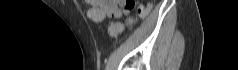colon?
<instances>
[{
    "label": "colon",
    "mask_w": 238,
    "mask_h": 70,
    "mask_svg": "<svg viewBox=\"0 0 238 70\" xmlns=\"http://www.w3.org/2000/svg\"><path fill=\"white\" fill-rule=\"evenodd\" d=\"M126 8L129 10H132L136 8V1L134 0H126L125 1ZM148 8L141 6L138 8L139 14L142 16H145L148 13ZM137 23V16L136 15H129L123 22V24H118V21H111L110 27H108V32L112 36H117L120 32H122L124 29L131 30L134 28V26Z\"/></svg>",
    "instance_id": "5ec220e1"
}]
</instances>
